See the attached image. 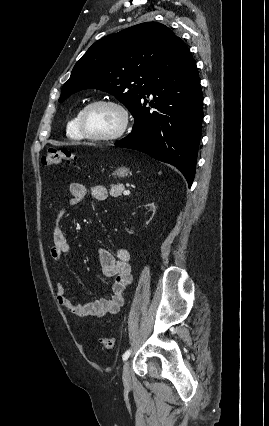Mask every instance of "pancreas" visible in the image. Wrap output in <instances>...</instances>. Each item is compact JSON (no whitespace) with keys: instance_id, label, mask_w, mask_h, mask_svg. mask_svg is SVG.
I'll return each instance as SVG.
<instances>
[{"instance_id":"cf45deb5","label":"pancreas","mask_w":269,"mask_h":426,"mask_svg":"<svg viewBox=\"0 0 269 426\" xmlns=\"http://www.w3.org/2000/svg\"><path fill=\"white\" fill-rule=\"evenodd\" d=\"M124 190H125V187L123 184H117V185L113 184L111 185L109 192L112 197H119L121 196Z\"/></svg>"}]
</instances>
